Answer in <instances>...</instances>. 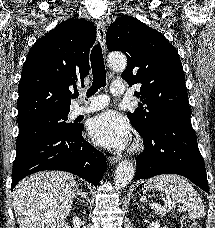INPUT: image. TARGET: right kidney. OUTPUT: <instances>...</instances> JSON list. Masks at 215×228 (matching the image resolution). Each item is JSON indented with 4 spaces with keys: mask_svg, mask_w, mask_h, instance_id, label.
Listing matches in <instances>:
<instances>
[{
    "mask_svg": "<svg viewBox=\"0 0 215 228\" xmlns=\"http://www.w3.org/2000/svg\"><path fill=\"white\" fill-rule=\"evenodd\" d=\"M62 228H71V226H69V224H66V222H65V224H63Z\"/></svg>",
    "mask_w": 215,
    "mask_h": 228,
    "instance_id": "ca27d5eb",
    "label": "right kidney"
}]
</instances>
